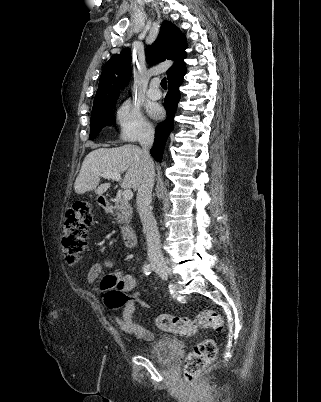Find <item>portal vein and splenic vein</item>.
<instances>
[{"instance_id": "18ae733b", "label": "portal vein and splenic vein", "mask_w": 321, "mask_h": 402, "mask_svg": "<svg viewBox=\"0 0 321 402\" xmlns=\"http://www.w3.org/2000/svg\"><path fill=\"white\" fill-rule=\"evenodd\" d=\"M103 178L105 179H113L116 181L121 180V175L120 173H115V172H105L102 174ZM122 196L125 200H130L133 197V192L130 189H126L123 191Z\"/></svg>"}]
</instances>
